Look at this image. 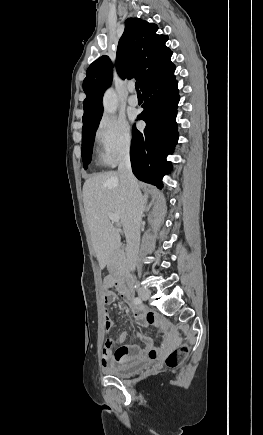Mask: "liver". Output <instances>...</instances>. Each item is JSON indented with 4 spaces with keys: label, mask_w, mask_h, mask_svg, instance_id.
Here are the masks:
<instances>
[{
    "label": "liver",
    "mask_w": 263,
    "mask_h": 435,
    "mask_svg": "<svg viewBox=\"0 0 263 435\" xmlns=\"http://www.w3.org/2000/svg\"><path fill=\"white\" fill-rule=\"evenodd\" d=\"M144 190L147 191L146 187ZM83 203L93 248L100 268L104 269L120 243V236L108 214H117L124 229L129 221L125 191L118 172H102L88 178L83 185Z\"/></svg>",
    "instance_id": "6515ba94"
}]
</instances>
